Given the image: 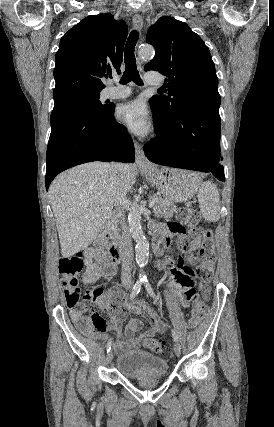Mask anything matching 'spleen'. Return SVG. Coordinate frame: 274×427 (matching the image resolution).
Instances as JSON below:
<instances>
[{"label":"spleen","instance_id":"1","mask_svg":"<svg viewBox=\"0 0 274 427\" xmlns=\"http://www.w3.org/2000/svg\"><path fill=\"white\" fill-rule=\"evenodd\" d=\"M200 212L207 221H218L220 217V194L212 182H201L197 190Z\"/></svg>","mask_w":274,"mask_h":427}]
</instances>
